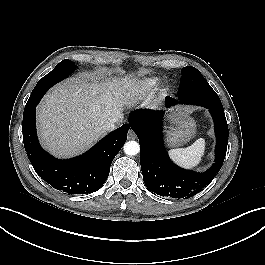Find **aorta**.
I'll return each mask as SVG.
<instances>
[{"label": "aorta", "mask_w": 265, "mask_h": 265, "mask_svg": "<svg viewBox=\"0 0 265 265\" xmlns=\"http://www.w3.org/2000/svg\"><path fill=\"white\" fill-rule=\"evenodd\" d=\"M126 155H137L140 151V146L136 141H127L123 146Z\"/></svg>", "instance_id": "762f6f07"}]
</instances>
